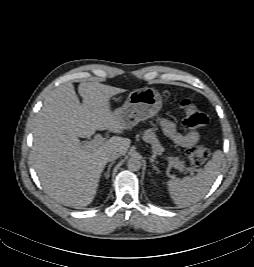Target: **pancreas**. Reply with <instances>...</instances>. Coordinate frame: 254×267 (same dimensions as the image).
<instances>
[{
	"label": "pancreas",
	"instance_id": "obj_1",
	"mask_svg": "<svg viewBox=\"0 0 254 267\" xmlns=\"http://www.w3.org/2000/svg\"><path fill=\"white\" fill-rule=\"evenodd\" d=\"M143 139L151 144L156 153H161L164 150L152 129L145 131ZM173 161L178 166L179 170H183L185 168L183 161H180L177 158L173 159Z\"/></svg>",
	"mask_w": 254,
	"mask_h": 267
}]
</instances>
